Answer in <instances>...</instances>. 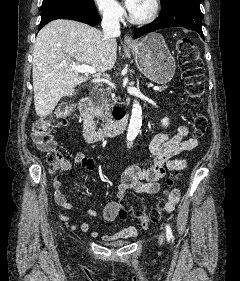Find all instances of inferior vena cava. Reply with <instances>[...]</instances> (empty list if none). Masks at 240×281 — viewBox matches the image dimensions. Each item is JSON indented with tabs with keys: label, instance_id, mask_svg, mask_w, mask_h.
I'll return each instance as SVG.
<instances>
[{
	"label": "inferior vena cava",
	"instance_id": "1",
	"mask_svg": "<svg viewBox=\"0 0 240 281\" xmlns=\"http://www.w3.org/2000/svg\"><path fill=\"white\" fill-rule=\"evenodd\" d=\"M101 26L105 41H115V37L120 36V23L117 15L109 9L103 11Z\"/></svg>",
	"mask_w": 240,
	"mask_h": 281
}]
</instances>
